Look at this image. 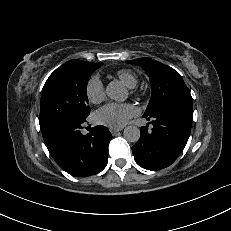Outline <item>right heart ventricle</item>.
<instances>
[{"mask_svg":"<svg viewBox=\"0 0 231 231\" xmlns=\"http://www.w3.org/2000/svg\"><path fill=\"white\" fill-rule=\"evenodd\" d=\"M117 76L129 88H134L138 83L136 74L128 69L118 71Z\"/></svg>","mask_w":231,"mask_h":231,"instance_id":"1","label":"right heart ventricle"}]
</instances>
